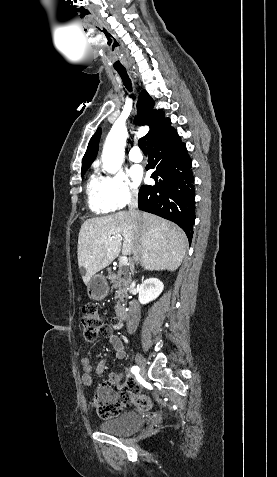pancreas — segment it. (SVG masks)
Listing matches in <instances>:
<instances>
[{
    "mask_svg": "<svg viewBox=\"0 0 277 477\" xmlns=\"http://www.w3.org/2000/svg\"><path fill=\"white\" fill-rule=\"evenodd\" d=\"M109 271H111L109 269ZM112 288H117L115 298L118 299L116 308L120 307V303L127 297L128 287L130 284V278L126 277V274L122 269H119L117 273L111 275Z\"/></svg>",
    "mask_w": 277,
    "mask_h": 477,
    "instance_id": "pancreas-1",
    "label": "pancreas"
}]
</instances>
